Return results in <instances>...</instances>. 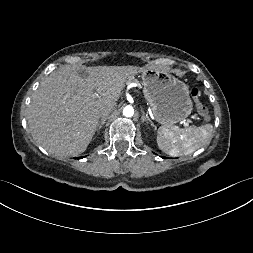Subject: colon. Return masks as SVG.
<instances>
[{
  "mask_svg": "<svg viewBox=\"0 0 253 253\" xmlns=\"http://www.w3.org/2000/svg\"><path fill=\"white\" fill-rule=\"evenodd\" d=\"M191 97L197 109V112L204 118L208 117V109L199 100V90L192 88L190 91Z\"/></svg>",
  "mask_w": 253,
  "mask_h": 253,
  "instance_id": "5ec220e1",
  "label": "colon"
}]
</instances>
